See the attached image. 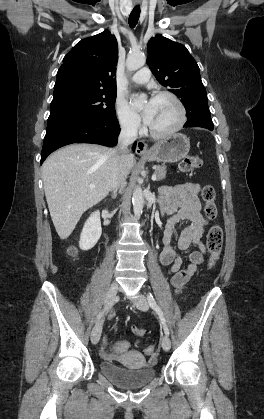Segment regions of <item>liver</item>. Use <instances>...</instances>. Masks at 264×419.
I'll use <instances>...</instances> for the list:
<instances>
[{
	"label": "liver",
	"mask_w": 264,
	"mask_h": 419,
	"mask_svg": "<svg viewBox=\"0 0 264 419\" xmlns=\"http://www.w3.org/2000/svg\"><path fill=\"white\" fill-rule=\"evenodd\" d=\"M113 149L95 144H71L51 154L42 165L45 196L56 232L67 239L82 214L104 199L112 186ZM135 163L129 151L126 174ZM95 185L90 188V185Z\"/></svg>",
	"instance_id": "liver-1"
}]
</instances>
